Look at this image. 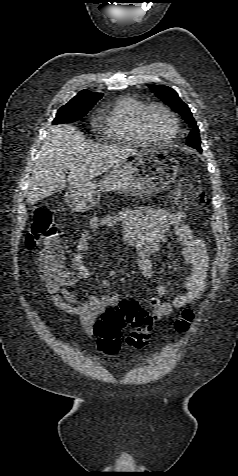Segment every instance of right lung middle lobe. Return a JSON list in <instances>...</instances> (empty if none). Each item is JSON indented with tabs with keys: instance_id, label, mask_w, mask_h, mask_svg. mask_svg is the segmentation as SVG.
<instances>
[{
	"instance_id": "1",
	"label": "right lung middle lobe",
	"mask_w": 238,
	"mask_h": 476,
	"mask_svg": "<svg viewBox=\"0 0 238 476\" xmlns=\"http://www.w3.org/2000/svg\"><path fill=\"white\" fill-rule=\"evenodd\" d=\"M93 107V105H77L67 103L63 105L56 114L53 123H71L82 118Z\"/></svg>"
}]
</instances>
